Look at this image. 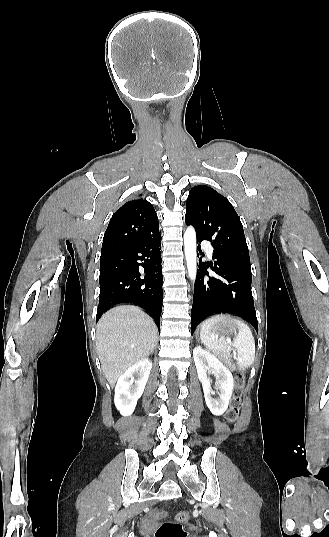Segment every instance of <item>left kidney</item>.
<instances>
[{
    "mask_svg": "<svg viewBox=\"0 0 329 537\" xmlns=\"http://www.w3.org/2000/svg\"><path fill=\"white\" fill-rule=\"evenodd\" d=\"M193 357L198 378L202 383L206 404L212 414L220 416L227 410L232 396L234 387L232 373L215 355L200 346L194 348ZM210 368L213 369L216 377V389L220 391L218 399L212 398L214 392L211 388L210 379L207 377V370Z\"/></svg>",
    "mask_w": 329,
    "mask_h": 537,
    "instance_id": "left-kidney-1",
    "label": "left kidney"
}]
</instances>
